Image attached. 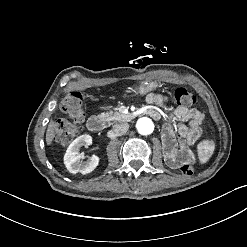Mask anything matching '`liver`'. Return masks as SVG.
I'll list each match as a JSON object with an SVG mask.
<instances>
[{"label": "liver", "mask_w": 247, "mask_h": 247, "mask_svg": "<svg viewBox=\"0 0 247 247\" xmlns=\"http://www.w3.org/2000/svg\"><path fill=\"white\" fill-rule=\"evenodd\" d=\"M55 128H56V123L51 120L48 124L47 132H46L47 145H50L55 137Z\"/></svg>", "instance_id": "obj_1"}]
</instances>
